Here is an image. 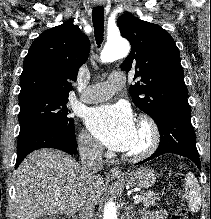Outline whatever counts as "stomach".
I'll return each instance as SVG.
<instances>
[{
	"label": "stomach",
	"mask_w": 211,
	"mask_h": 219,
	"mask_svg": "<svg viewBox=\"0 0 211 219\" xmlns=\"http://www.w3.org/2000/svg\"><path fill=\"white\" fill-rule=\"evenodd\" d=\"M157 173L146 167L138 168L130 172L125 180V183L133 188H149L156 182Z\"/></svg>",
	"instance_id": "obj_1"
}]
</instances>
